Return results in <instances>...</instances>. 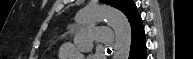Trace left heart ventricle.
<instances>
[{
    "instance_id": "left-heart-ventricle-1",
    "label": "left heart ventricle",
    "mask_w": 193,
    "mask_h": 59,
    "mask_svg": "<svg viewBox=\"0 0 193 59\" xmlns=\"http://www.w3.org/2000/svg\"><path fill=\"white\" fill-rule=\"evenodd\" d=\"M78 51L81 54V58H83V56L88 53L89 49L88 48H79Z\"/></svg>"
}]
</instances>
